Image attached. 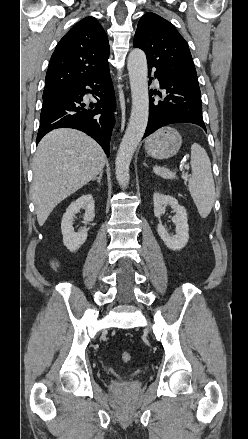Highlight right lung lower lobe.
<instances>
[{
	"label": "right lung lower lobe",
	"mask_w": 248,
	"mask_h": 439,
	"mask_svg": "<svg viewBox=\"0 0 248 439\" xmlns=\"http://www.w3.org/2000/svg\"><path fill=\"white\" fill-rule=\"evenodd\" d=\"M94 95L97 103H84L85 94ZM116 107L109 67L57 94L43 98L37 143L48 132L68 127L81 130L94 138L106 155Z\"/></svg>",
	"instance_id": "obj_1"
}]
</instances>
